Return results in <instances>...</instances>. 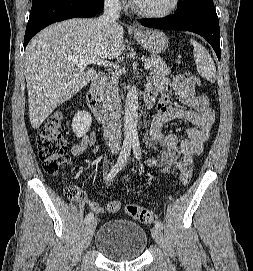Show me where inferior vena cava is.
I'll return each mask as SVG.
<instances>
[{"label": "inferior vena cava", "instance_id": "obj_1", "mask_svg": "<svg viewBox=\"0 0 253 271\" xmlns=\"http://www.w3.org/2000/svg\"><path fill=\"white\" fill-rule=\"evenodd\" d=\"M119 0H104V10L97 20L103 31L109 30L120 17ZM104 138L112 152H118L121 144V99L117 87L111 88L104 105Z\"/></svg>", "mask_w": 253, "mask_h": 271}]
</instances>
